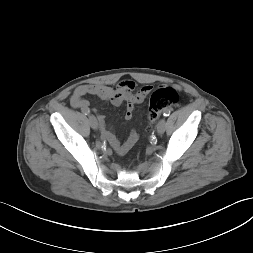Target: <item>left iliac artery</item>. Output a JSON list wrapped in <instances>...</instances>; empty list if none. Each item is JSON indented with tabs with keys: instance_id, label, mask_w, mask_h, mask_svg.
<instances>
[{
	"instance_id": "obj_1",
	"label": "left iliac artery",
	"mask_w": 253,
	"mask_h": 253,
	"mask_svg": "<svg viewBox=\"0 0 253 253\" xmlns=\"http://www.w3.org/2000/svg\"><path fill=\"white\" fill-rule=\"evenodd\" d=\"M163 115L165 117L169 116L170 115V110L169 109L165 110L164 113H163Z\"/></svg>"
}]
</instances>
